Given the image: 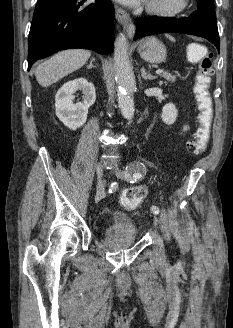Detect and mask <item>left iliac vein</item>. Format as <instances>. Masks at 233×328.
<instances>
[{"label": "left iliac vein", "instance_id": "4c4485c4", "mask_svg": "<svg viewBox=\"0 0 233 328\" xmlns=\"http://www.w3.org/2000/svg\"><path fill=\"white\" fill-rule=\"evenodd\" d=\"M133 172V167L131 166L129 170H121V169H116L115 170V175L122 179V180H127L130 181L132 179L131 173ZM154 224H158V217L154 215Z\"/></svg>", "mask_w": 233, "mask_h": 328}]
</instances>
